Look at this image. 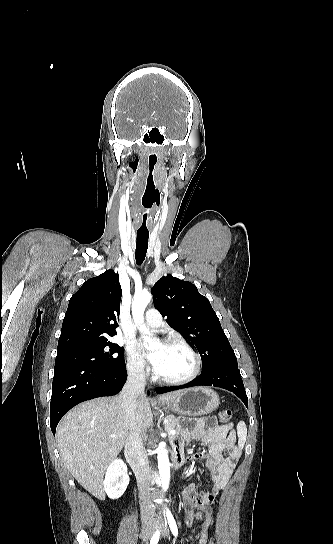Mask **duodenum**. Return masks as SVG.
<instances>
[{
  "label": "duodenum",
  "instance_id": "duodenum-1",
  "mask_svg": "<svg viewBox=\"0 0 333 544\" xmlns=\"http://www.w3.org/2000/svg\"><path fill=\"white\" fill-rule=\"evenodd\" d=\"M135 454L136 453H135V450L133 448H131V447L126 448L125 456H126V459H127L128 463L131 465V467L133 468V470L135 471V473L137 475H141L142 468L139 465ZM182 462H183V456L180 453L174 452V454L172 456L173 467L176 468V469L179 468L182 465Z\"/></svg>",
  "mask_w": 333,
  "mask_h": 544
}]
</instances>
